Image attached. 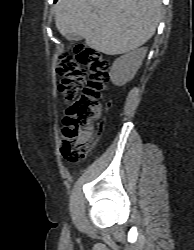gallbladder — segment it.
<instances>
[{"mask_svg":"<svg viewBox=\"0 0 194 250\" xmlns=\"http://www.w3.org/2000/svg\"><path fill=\"white\" fill-rule=\"evenodd\" d=\"M66 38L69 39V40H75V41H79V40H82V39H83L82 36H80V35H75V34H68V35L66 36Z\"/></svg>","mask_w":194,"mask_h":250,"instance_id":"gallbladder-1","label":"gallbladder"}]
</instances>
